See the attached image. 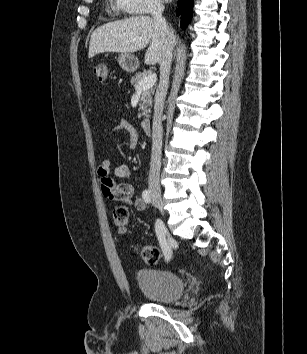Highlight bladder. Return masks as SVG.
<instances>
[{"mask_svg": "<svg viewBox=\"0 0 307 354\" xmlns=\"http://www.w3.org/2000/svg\"><path fill=\"white\" fill-rule=\"evenodd\" d=\"M143 294L152 301L171 303L184 293L185 282L177 273L158 268H141L136 273Z\"/></svg>", "mask_w": 307, "mask_h": 354, "instance_id": "obj_1", "label": "bladder"}]
</instances>
